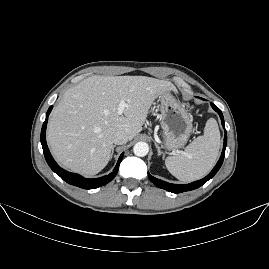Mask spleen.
Instances as JSON below:
<instances>
[{
    "label": "spleen",
    "mask_w": 269,
    "mask_h": 269,
    "mask_svg": "<svg viewBox=\"0 0 269 269\" xmlns=\"http://www.w3.org/2000/svg\"><path fill=\"white\" fill-rule=\"evenodd\" d=\"M220 132L215 119L207 120L203 136L198 137L186 151L168 157L165 165L178 180L190 182L205 176L213 167L219 151Z\"/></svg>",
    "instance_id": "1"
}]
</instances>
